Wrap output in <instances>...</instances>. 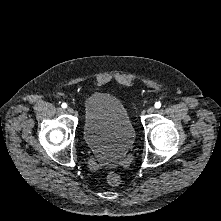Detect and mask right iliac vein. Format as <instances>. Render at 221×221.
Here are the masks:
<instances>
[{
    "instance_id": "right-iliac-vein-1",
    "label": "right iliac vein",
    "mask_w": 221,
    "mask_h": 221,
    "mask_svg": "<svg viewBox=\"0 0 221 221\" xmlns=\"http://www.w3.org/2000/svg\"><path fill=\"white\" fill-rule=\"evenodd\" d=\"M67 112L70 113V114H72V113L74 112V110H73L72 107H68V108H67Z\"/></svg>"
}]
</instances>
